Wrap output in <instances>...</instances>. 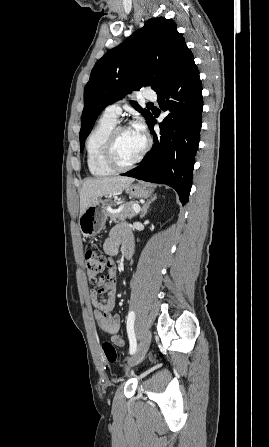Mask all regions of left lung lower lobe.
Wrapping results in <instances>:
<instances>
[{
    "mask_svg": "<svg viewBox=\"0 0 269 447\" xmlns=\"http://www.w3.org/2000/svg\"><path fill=\"white\" fill-rule=\"evenodd\" d=\"M157 94L161 109L167 111L159 124L160 133L154 132L156 120L151 115L147 123L154 137L153 148L141 165L122 175L173 187L180 201L186 203L192 185L203 108L202 83L189 49Z\"/></svg>",
    "mask_w": 269,
    "mask_h": 447,
    "instance_id": "obj_1",
    "label": "left lung lower lobe"
}]
</instances>
